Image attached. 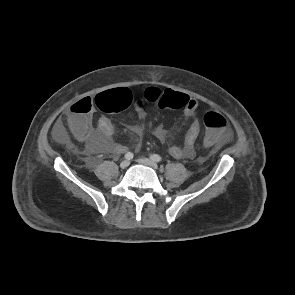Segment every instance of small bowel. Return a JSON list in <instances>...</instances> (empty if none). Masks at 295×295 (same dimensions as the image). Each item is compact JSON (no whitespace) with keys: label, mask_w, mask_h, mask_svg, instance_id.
<instances>
[{"label":"small bowel","mask_w":295,"mask_h":295,"mask_svg":"<svg viewBox=\"0 0 295 295\" xmlns=\"http://www.w3.org/2000/svg\"><path fill=\"white\" fill-rule=\"evenodd\" d=\"M199 103L196 99L188 96V102L183 107L184 119L189 123L187 131L184 135L181 145H173L169 149V153L176 159H190L195 155L194 145L201 131V121L197 117ZM72 111L70 109L68 117L70 118ZM141 118L144 113L140 112ZM72 128V127H71ZM137 134L151 133L159 140L166 138V130L161 123L155 125H134L130 127ZM75 136L83 141L87 149L92 153H107L111 155H119L127 150V147L121 143L113 141L115 134L114 126L106 116L98 119L97 126L92 125L91 112L82 115L78 120V126L73 129ZM54 135L61 142H68L65 131L61 123H57L54 127Z\"/></svg>","instance_id":"c3829d8e"}]
</instances>
